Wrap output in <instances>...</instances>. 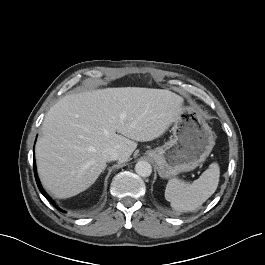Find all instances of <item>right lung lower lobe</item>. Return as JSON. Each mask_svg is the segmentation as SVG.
<instances>
[{
    "label": "right lung lower lobe",
    "instance_id": "obj_1",
    "mask_svg": "<svg viewBox=\"0 0 265 265\" xmlns=\"http://www.w3.org/2000/svg\"><path fill=\"white\" fill-rule=\"evenodd\" d=\"M34 174H35V179H36V183L38 185V188L40 190V192L48 199V201L55 207L57 208L58 210L64 212L63 210H61L56 204L55 202L46 194V192L43 190L40 182H39V179H38V176H37V173H36V167H35V161H34Z\"/></svg>",
    "mask_w": 265,
    "mask_h": 265
}]
</instances>
